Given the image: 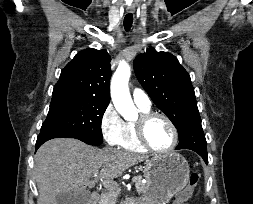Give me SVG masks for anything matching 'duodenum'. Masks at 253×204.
Wrapping results in <instances>:
<instances>
[{"label":"duodenum","mask_w":253,"mask_h":204,"mask_svg":"<svg viewBox=\"0 0 253 204\" xmlns=\"http://www.w3.org/2000/svg\"><path fill=\"white\" fill-rule=\"evenodd\" d=\"M98 200H99L98 192H93L87 204H98Z\"/></svg>","instance_id":"1"}]
</instances>
